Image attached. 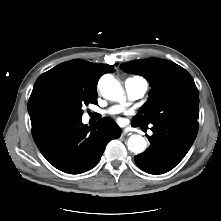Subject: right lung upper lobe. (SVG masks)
Returning <instances> with one entry per match:
<instances>
[{
    "label": "right lung upper lobe",
    "instance_id": "obj_1",
    "mask_svg": "<svg viewBox=\"0 0 221 221\" xmlns=\"http://www.w3.org/2000/svg\"><path fill=\"white\" fill-rule=\"evenodd\" d=\"M114 71L112 65L75 59L43 73L36 80L28 101L32 128L55 118V106L61 97L75 92L97 94L100 76Z\"/></svg>",
    "mask_w": 221,
    "mask_h": 221
}]
</instances>
